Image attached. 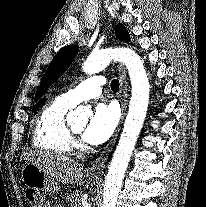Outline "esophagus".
<instances>
[{"mask_svg": "<svg viewBox=\"0 0 206 207\" xmlns=\"http://www.w3.org/2000/svg\"><path fill=\"white\" fill-rule=\"evenodd\" d=\"M118 73L120 79L119 100L121 105V117H120L119 124L114 134L112 135L109 143L105 146V148L100 153L99 157L96 158V160L91 164V166L87 170V172L94 177H100L102 175L108 156L110 155L112 148L117 140L127 110V103H128L127 73L122 63L118 64Z\"/></svg>", "mask_w": 206, "mask_h": 207, "instance_id": "esophagus-1", "label": "esophagus"}]
</instances>
